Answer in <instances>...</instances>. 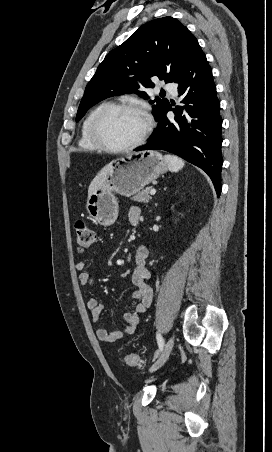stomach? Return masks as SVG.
Returning a JSON list of instances; mask_svg holds the SVG:
<instances>
[{
    "mask_svg": "<svg viewBox=\"0 0 272 452\" xmlns=\"http://www.w3.org/2000/svg\"><path fill=\"white\" fill-rule=\"evenodd\" d=\"M164 157L157 151L133 152L112 162L102 185L87 199L90 217L102 226L112 225L119 212L115 194L130 197L167 171Z\"/></svg>",
    "mask_w": 272,
    "mask_h": 452,
    "instance_id": "stomach-1",
    "label": "stomach"
}]
</instances>
